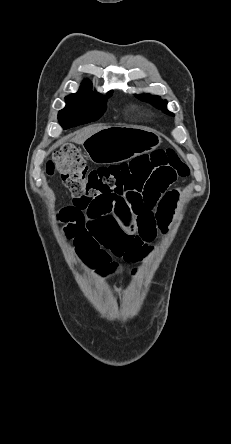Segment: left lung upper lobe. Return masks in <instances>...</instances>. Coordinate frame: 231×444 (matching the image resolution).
<instances>
[{"mask_svg": "<svg viewBox=\"0 0 231 444\" xmlns=\"http://www.w3.org/2000/svg\"><path fill=\"white\" fill-rule=\"evenodd\" d=\"M137 97L143 101L153 104L154 106L160 108L162 111H164L167 114H172L170 111L167 110V101L161 100L159 96H152L150 94H146L140 96L137 95Z\"/></svg>", "mask_w": 231, "mask_h": 444, "instance_id": "1", "label": "left lung upper lobe"}]
</instances>
